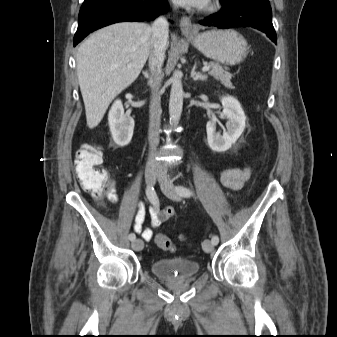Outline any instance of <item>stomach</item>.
<instances>
[{
  "mask_svg": "<svg viewBox=\"0 0 337 337\" xmlns=\"http://www.w3.org/2000/svg\"><path fill=\"white\" fill-rule=\"evenodd\" d=\"M189 38L203 55L227 65L240 63L248 54L246 40L233 30H211Z\"/></svg>",
  "mask_w": 337,
  "mask_h": 337,
  "instance_id": "stomach-1",
  "label": "stomach"
}]
</instances>
